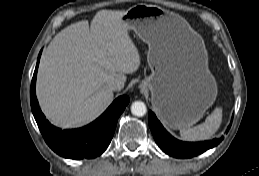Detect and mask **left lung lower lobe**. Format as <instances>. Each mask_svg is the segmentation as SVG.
Wrapping results in <instances>:
<instances>
[{
  "instance_id": "obj_1",
  "label": "left lung lower lobe",
  "mask_w": 259,
  "mask_h": 176,
  "mask_svg": "<svg viewBox=\"0 0 259 176\" xmlns=\"http://www.w3.org/2000/svg\"><path fill=\"white\" fill-rule=\"evenodd\" d=\"M149 126L159 147L168 155L176 158H191L218 145L222 139L205 142H182L172 137L162 126L155 114L149 111ZM230 128V126L228 127Z\"/></svg>"
}]
</instances>
